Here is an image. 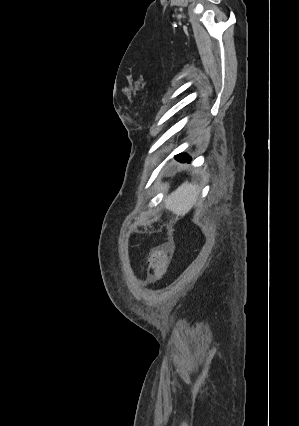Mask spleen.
Returning a JSON list of instances; mask_svg holds the SVG:
<instances>
[{
    "label": "spleen",
    "instance_id": "3e777b00",
    "mask_svg": "<svg viewBox=\"0 0 299 426\" xmlns=\"http://www.w3.org/2000/svg\"><path fill=\"white\" fill-rule=\"evenodd\" d=\"M198 194V185L186 181L166 199V208L176 214V218L183 216L194 206Z\"/></svg>",
    "mask_w": 299,
    "mask_h": 426
}]
</instances>
